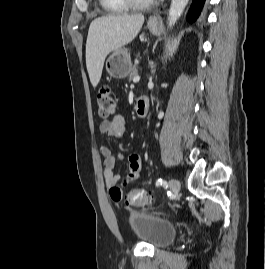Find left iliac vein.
Instances as JSON below:
<instances>
[{
  "label": "left iliac vein",
  "instance_id": "1",
  "mask_svg": "<svg viewBox=\"0 0 265 269\" xmlns=\"http://www.w3.org/2000/svg\"><path fill=\"white\" fill-rule=\"evenodd\" d=\"M169 187L175 195H178V193L180 191V182L174 178L170 179L169 180Z\"/></svg>",
  "mask_w": 265,
  "mask_h": 269
}]
</instances>
